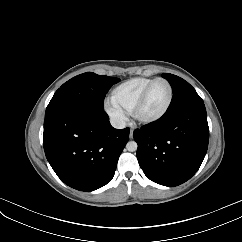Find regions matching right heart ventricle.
Here are the masks:
<instances>
[{"instance_id": "right-heart-ventricle-1", "label": "right heart ventricle", "mask_w": 242, "mask_h": 242, "mask_svg": "<svg viewBox=\"0 0 242 242\" xmlns=\"http://www.w3.org/2000/svg\"><path fill=\"white\" fill-rule=\"evenodd\" d=\"M152 80L153 78L136 77L121 83L111 93L112 103L126 114L131 113L134 103Z\"/></svg>"}]
</instances>
